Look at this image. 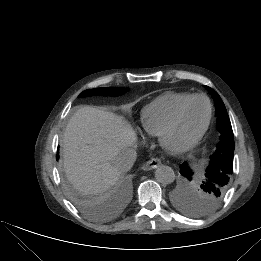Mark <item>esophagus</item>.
Instances as JSON below:
<instances>
[{"label": "esophagus", "mask_w": 261, "mask_h": 261, "mask_svg": "<svg viewBox=\"0 0 261 261\" xmlns=\"http://www.w3.org/2000/svg\"><path fill=\"white\" fill-rule=\"evenodd\" d=\"M162 164L159 158H152L146 164L143 165L145 170H152L158 168Z\"/></svg>", "instance_id": "1"}]
</instances>
